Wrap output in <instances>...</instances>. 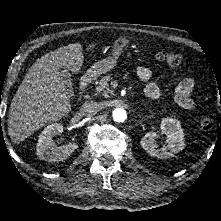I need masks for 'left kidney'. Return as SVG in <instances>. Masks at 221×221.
<instances>
[{
  "label": "left kidney",
  "instance_id": "1",
  "mask_svg": "<svg viewBox=\"0 0 221 221\" xmlns=\"http://www.w3.org/2000/svg\"><path fill=\"white\" fill-rule=\"evenodd\" d=\"M161 131L166 135L168 144L161 148L156 144L159 135L156 132H147L141 139L140 144L143 149L151 156L163 159L173 157L176 153L183 150L184 133L179 120L174 118H163L161 121Z\"/></svg>",
  "mask_w": 221,
  "mask_h": 221
}]
</instances>
